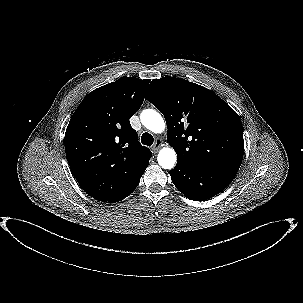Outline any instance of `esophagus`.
I'll use <instances>...</instances> for the list:
<instances>
[{
  "mask_svg": "<svg viewBox=\"0 0 303 303\" xmlns=\"http://www.w3.org/2000/svg\"><path fill=\"white\" fill-rule=\"evenodd\" d=\"M162 147V140L156 139L155 144L152 146V151L157 152Z\"/></svg>",
  "mask_w": 303,
  "mask_h": 303,
  "instance_id": "34e87169",
  "label": "esophagus"
}]
</instances>
